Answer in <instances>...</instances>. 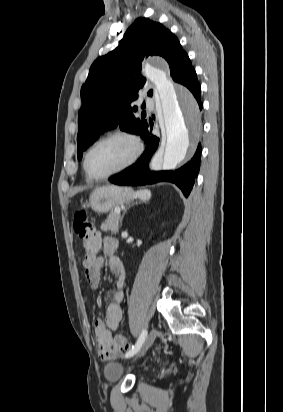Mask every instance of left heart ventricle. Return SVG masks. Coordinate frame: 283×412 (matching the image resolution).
<instances>
[{
  "label": "left heart ventricle",
  "instance_id": "left-heart-ventricle-1",
  "mask_svg": "<svg viewBox=\"0 0 283 412\" xmlns=\"http://www.w3.org/2000/svg\"><path fill=\"white\" fill-rule=\"evenodd\" d=\"M133 144L125 138H112L97 145L90 153L88 167L103 175L125 164L133 155Z\"/></svg>",
  "mask_w": 283,
  "mask_h": 412
}]
</instances>
